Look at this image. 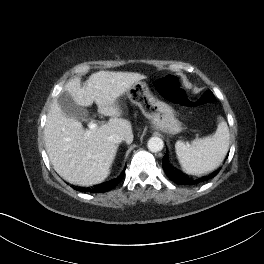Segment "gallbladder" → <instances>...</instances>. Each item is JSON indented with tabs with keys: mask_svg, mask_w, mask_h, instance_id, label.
<instances>
[{
	"mask_svg": "<svg viewBox=\"0 0 264 264\" xmlns=\"http://www.w3.org/2000/svg\"><path fill=\"white\" fill-rule=\"evenodd\" d=\"M57 102L67 117L83 120L88 116V111L79 106L67 91H62L58 95Z\"/></svg>",
	"mask_w": 264,
	"mask_h": 264,
	"instance_id": "gallbladder-1",
	"label": "gallbladder"
}]
</instances>
